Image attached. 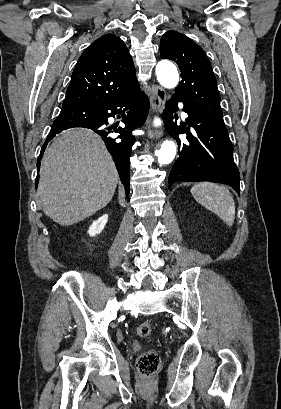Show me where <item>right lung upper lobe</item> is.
Returning <instances> with one entry per match:
<instances>
[{
    "instance_id": "1",
    "label": "right lung upper lobe",
    "mask_w": 281,
    "mask_h": 409,
    "mask_svg": "<svg viewBox=\"0 0 281 409\" xmlns=\"http://www.w3.org/2000/svg\"><path fill=\"white\" fill-rule=\"evenodd\" d=\"M138 87L125 43L114 34H106L79 58L62 106L96 104L126 95Z\"/></svg>"
}]
</instances>
